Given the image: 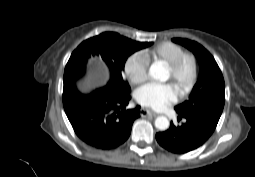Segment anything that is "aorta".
Returning a JSON list of instances; mask_svg holds the SVG:
<instances>
[{
  "instance_id": "obj_1",
  "label": "aorta",
  "mask_w": 255,
  "mask_h": 177,
  "mask_svg": "<svg viewBox=\"0 0 255 177\" xmlns=\"http://www.w3.org/2000/svg\"><path fill=\"white\" fill-rule=\"evenodd\" d=\"M149 75L153 79L166 81L168 79V73L164 67L159 64H153L149 69ZM169 120L165 116H158L155 119V127L161 131L167 130L169 128Z\"/></svg>"
}]
</instances>
